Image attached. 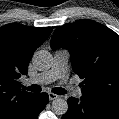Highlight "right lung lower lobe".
<instances>
[{"label": "right lung lower lobe", "instance_id": "right-lung-lower-lobe-1", "mask_svg": "<svg viewBox=\"0 0 119 119\" xmlns=\"http://www.w3.org/2000/svg\"><path fill=\"white\" fill-rule=\"evenodd\" d=\"M48 94L43 92L41 94H36L33 101L23 112L19 119H37L39 113L45 108L48 103Z\"/></svg>", "mask_w": 119, "mask_h": 119}]
</instances>
